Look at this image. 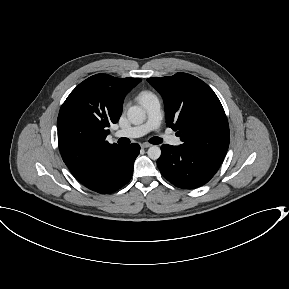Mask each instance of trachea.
Segmentation results:
<instances>
[{"label": "trachea", "instance_id": "obj_1", "mask_svg": "<svg viewBox=\"0 0 289 289\" xmlns=\"http://www.w3.org/2000/svg\"><path fill=\"white\" fill-rule=\"evenodd\" d=\"M150 142H151L152 144H160V143H162V139L159 138V137H153V138L150 139ZM119 143H120V144H126V140H125L124 138H121V139L119 140Z\"/></svg>", "mask_w": 289, "mask_h": 289}]
</instances>
